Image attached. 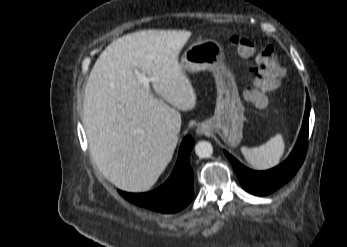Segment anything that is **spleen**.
I'll return each mask as SVG.
<instances>
[{"label": "spleen", "instance_id": "spleen-1", "mask_svg": "<svg viewBox=\"0 0 347 247\" xmlns=\"http://www.w3.org/2000/svg\"><path fill=\"white\" fill-rule=\"evenodd\" d=\"M284 151V136L277 134L259 147L244 148L242 153L253 169L261 171L278 165Z\"/></svg>", "mask_w": 347, "mask_h": 247}]
</instances>
